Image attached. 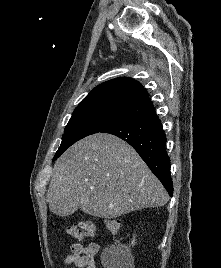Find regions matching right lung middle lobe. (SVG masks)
Listing matches in <instances>:
<instances>
[{"mask_svg":"<svg viewBox=\"0 0 221 268\" xmlns=\"http://www.w3.org/2000/svg\"><path fill=\"white\" fill-rule=\"evenodd\" d=\"M124 121L125 119L123 117L103 110L74 112L65 128L62 143L53 160L60 157V155L76 141L88 135L103 132Z\"/></svg>","mask_w":221,"mask_h":268,"instance_id":"right-lung-middle-lobe-1","label":"right lung middle lobe"}]
</instances>
